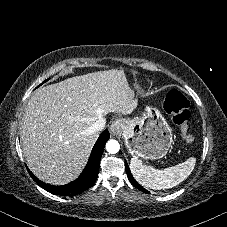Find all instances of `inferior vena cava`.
I'll return each mask as SVG.
<instances>
[{"mask_svg":"<svg viewBox=\"0 0 227 227\" xmlns=\"http://www.w3.org/2000/svg\"><path fill=\"white\" fill-rule=\"evenodd\" d=\"M105 125H106V120H105V118L101 117L93 124L92 129L94 131L99 132V131L103 130Z\"/></svg>","mask_w":227,"mask_h":227,"instance_id":"602c4592","label":"inferior vena cava"}]
</instances>
